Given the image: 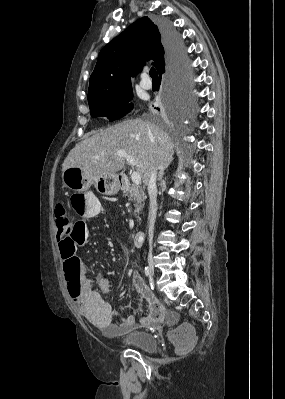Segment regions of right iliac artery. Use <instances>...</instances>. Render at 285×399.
Instances as JSON below:
<instances>
[{
	"instance_id": "1",
	"label": "right iliac artery",
	"mask_w": 285,
	"mask_h": 399,
	"mask_svg": "<svg viewBox=\"0 0 285 399\" xmlns=\"http://www.w3.org/2000/svg\"><path fill=\"white\" fill-rule=\"evenodd\" d=\"M145 275H146V276H149V275H150V272H149V268H148V267H145Z\"/></svg>"
}]
</instances>
